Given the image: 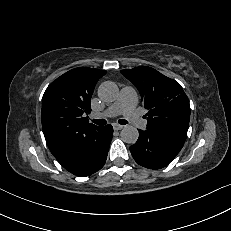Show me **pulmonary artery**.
I'll list each match as a JSON object with an SVG mask.
<instances>
[{
    "mask_svg": "<svg viewBox=\"0 0 231 231\" xmlns=\"http://www.w3.org/2000/svg\"><path fill=\"white\" fill-rule=\"evenodd\" d=\"M138 97L132 87H124L117 100L109 105L103 112L93 113L92 118H109L117 115H124L135 127L145 129L147 121L144 120L137 112Z\"/></svg>",
    "mask_w": 231,
    "mask_h": 231,
    "instance_id": "pulmonary-artery-1",
    "label": "pulmonary artery"
}]
</instances>
